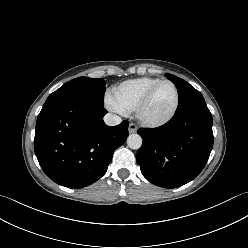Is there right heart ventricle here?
<instances>
[{"label":"right heart ventricle","mask_w":248,"mask_h":248,"mask_svg":"<svg viewBox=\"0 0 248 248\" xmlns=\"http://www.w3.org/2000/svg\"><path fill=\"white\" fill-rule=\"evenodd\" d=\"M160 79L140 77L131 79L115 86L111 91V98L122 112L134 111L145 92Z\"/></svg>","instance_id":"right-heart-ventricle-1"}]
</instances>
